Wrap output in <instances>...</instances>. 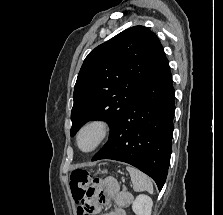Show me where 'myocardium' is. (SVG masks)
I'll return each instance as SVG.
<instances>
[{"instance_id": "myocardium-1", "label": "myocardium", "mask_w": 223, "mask_h": 215, "mask_svg": "<svg viewBox=\"0 0 223 215\" xmlns=\"http://www.w3.org/2000/svg\"><path fill=\"white\" fill-rule=\"evenodd\" d=\"M110 126L105 120L94 119L83 124L76 134L77 148L83 153L96 150L109 136ZM91 134L93 139L89 146H83L81 141L84 135Z\"/></svg>"}]
</instances>
